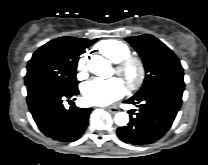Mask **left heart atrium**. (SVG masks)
Returning <instances> with one entry per match:
<instances>
[{
	"label": "left heart atrium",
	"mask_w": 208,
	"mask_h": 165,
	"mask_svg": "<svg viewBox=\"0 0 208 165\" xmlns=\"http://www.w3.org/2000/svg\"><path fill=\"white\" fill-rule=\"evenodd\" d=\"M125 85L119 78L95 79L83 87L85 100L92 105L105 106L121 98Z\"/></svg>",
	"instance_id": "left-heart-atrium-1"
}]
</instances>
